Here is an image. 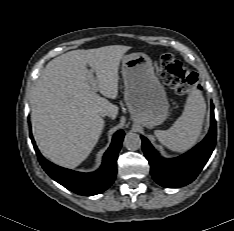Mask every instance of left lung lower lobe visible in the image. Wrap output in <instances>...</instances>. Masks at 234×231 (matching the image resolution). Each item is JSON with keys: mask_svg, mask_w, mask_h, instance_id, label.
I'll use <instances>...</instances> for the list:
<instances>
[{"mask_svg": "<svg viewBox=\"0 0 234 231\" xmlns=\"http://www.w3.org/2000/svg\"><path fill=\"white\" fill-rule=\"evenodd\" d=\"M214 106H211V127L204 140L193 149L174 159H163L150 142L142 138V149L151 166L154 180L165 188L182 187L191 183L208 161L216 143Z\"/></svg>", "mask_w": 234, "mask_h": 231, "instance_id": "0a47b994", "label": "left lung lower lobe"}]
</instances>
